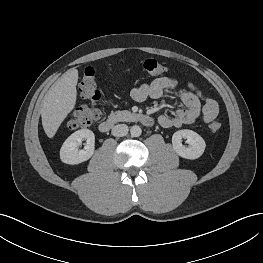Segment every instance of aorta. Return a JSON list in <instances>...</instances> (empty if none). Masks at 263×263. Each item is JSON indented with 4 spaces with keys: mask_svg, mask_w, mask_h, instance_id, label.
I'll return each mask as SVG.
<instances>
[{
    "mask_svg": "<svg viewBox=\"0 0 263 263\" xmlns=\"http://www.w3.org/2000/svg\"><path fill=\"white\" fill-rule=\"evenodd\" d=\"M141 133H142V130L138 125H134L130 129V134L132 137H139Z\"/></svg>",
    "mask_w": 263,
    "mask_h": 263,
    "instance_id": "762f6f07",
    "label": "aorta"
}]
</instances>
